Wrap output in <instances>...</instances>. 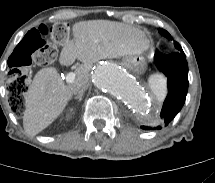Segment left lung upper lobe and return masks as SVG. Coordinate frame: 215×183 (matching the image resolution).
I'll use <instances>...</instances> for the list:
<instances>
[{"mask_svg":"<svg viewBox=\"0 0 215 183\" xmlns=\"http://www.w3.org/2000/svg\"><path fill=\"white\" fill-rule=\"evenodd\" d=\"M159 33H160L162 36L166 37L167 39L172 40L171 35H170L166 30L160 28V29H159ZM174 46H175V48H176L179 52L183 51L182 48H181V46H180L177 42H175Z\"/></svg>","mask_w":215,"mask_h":183,"instance_id":"5c2ea615","label":"left lung upper lobe"}]
</instances>
